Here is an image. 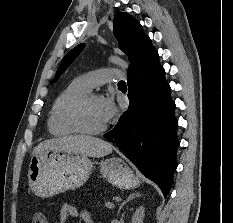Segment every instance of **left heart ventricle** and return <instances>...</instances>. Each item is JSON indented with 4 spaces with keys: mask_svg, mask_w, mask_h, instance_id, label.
I'll use <instances>...</instances> for the list:
<instances>
[{
    "mask_svg": "<svg viewBox=\"0 0 233 223\" xmlns=\"http://www.w3.org/2000/svg\"><path fill=\"white\" fill-rule=\"evenodd\" d=\"M98 105L99 98H93L86 106L83 124L89 130H95L104 125L99 116Z\"/></svg>",
    "mask_w": 233,
    "mask_h": 223,
    "instance_id": "obj_1",
    "label": "left heart ventricle"
}]
</instances>
